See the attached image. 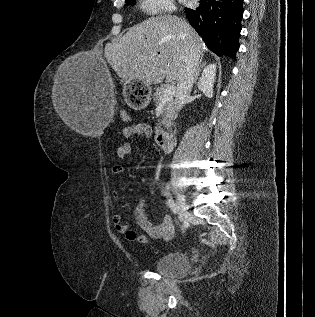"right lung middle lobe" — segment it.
<instances>
[{"label": "right lung middle lobe", "instance_id": "obj_1", "mask_svg": "<svg viewBox=\"0 0 315 317\" xmlns=\"http://www.w3.org/2000/svg\"><path fill=\"white\" fill-rule=\"evenodd\" d=\"M135 3H136V0H126V4L127 5H135Z\"/></svg>", "mask_w": 315, "mask_h": 317}]
</instances>
